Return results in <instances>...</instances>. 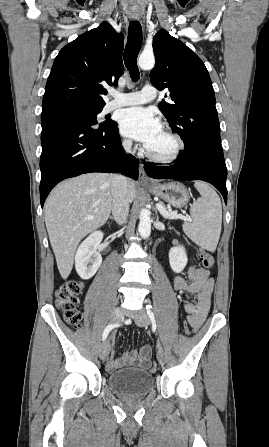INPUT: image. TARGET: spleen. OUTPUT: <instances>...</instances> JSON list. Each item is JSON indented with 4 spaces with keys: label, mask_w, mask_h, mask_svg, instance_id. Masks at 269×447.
<instances>
[{
    "label": "spleen",
    "mask_w": 269,
    "mask_h": 447,
    "mask_svg": "<svg viewBox=\"0 0 269 447\" xmlns=\"http://www.w3.org/2000/svg\"><path fill=\"white\" fill-rule=\"evenodd\" d=\"M194 186L201 194V198L191 206L190 214L193 222L192 224L185 222L183 231L203 249L215 251L222 225L221 200L214 188L206 182L196 180Z\"/></svg>",
    "instance_id": "obj_1"
}]
</instances>
